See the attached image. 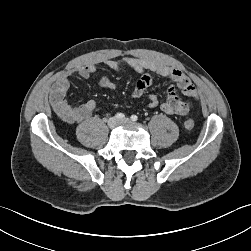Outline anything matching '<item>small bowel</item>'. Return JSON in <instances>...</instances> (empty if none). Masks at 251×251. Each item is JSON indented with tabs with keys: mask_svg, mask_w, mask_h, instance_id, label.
Wrapping results in <instances>:
<instances>
[{
	"mask_svg": "<svg viewBox=\"0 0 251 251\" xmlns=\"http://www.w3.org/2000/svg\"><path fill=\"white\" fill-rule=\"evenodd\" d=\"M104 64L115 71L130 70L135 73H143L135 84L133 98L139 99L146 89L151 85L154 74L171 79L181 90L186 98L177 96L173 86H169L166 98L161 100L157 95L151 94L148 97V107H160L163 112L169 115H186L193 107V101L197 99V90L190 78L181 70L165 65L161 62L136 58L124 57L121 59H109ZM94 64L81 66L70 73L61 75L50 89V102L56 115L64 122L77 124L89 118L96 109V102L89 100L82 105L74 106L66 99L70 88L69 77L77 74L87 79L96 72ZM101 87L108 90H115L116 84L107 76H101L98 80Z\"/></svg>",
	"mask_w": 251,
	"mask_h": 251,
	"instance_id": "small-bowel-1",
	"label": "small bowel"
}]
</instances>
